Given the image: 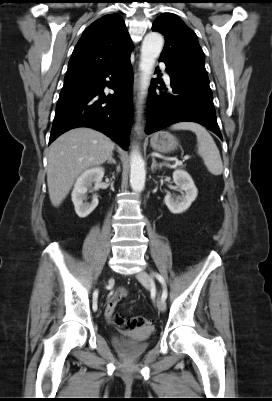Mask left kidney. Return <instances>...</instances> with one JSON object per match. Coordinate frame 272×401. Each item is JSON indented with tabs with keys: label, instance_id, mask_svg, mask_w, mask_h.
<instances>
[{
	"label": "left kidney",
	"instance_id": "obj_1",
	"mask_svg": "<svg viewBox=\"0 0 272 401\" xmlns=\"http://www.w3.org/2000/svg\"><path fill=\"white\" fill-rule=\"evenodd\" d=\"M173 181L182 191L181 196L167 194L164 198L165 204L173 214L185 212L196 199L198 190L191 176L183 170L173 172ZM184 192V193H183Z\"/></svg>",
	"mask_w": 272,
	"mask_h": 401
}]
</instances>
